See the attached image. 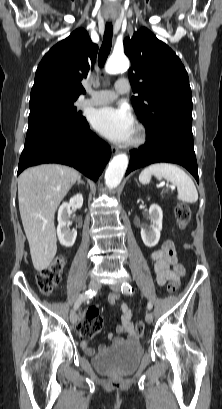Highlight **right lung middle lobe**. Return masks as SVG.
<instances>
[{"label":"right lung middle lobe","mask_w":222,"mask_h":409,"mask_svg":"<svg viewBox=\"0 0 222 409\" xmlns=\"http://www.w3.org/2000/svg\"><path fill=\"white\" fill-rule=\"evenodd\" d=\"M74 102H50L30 108L26 140L42 131L68 134L81 129L87 121Z\"/></svg>","instance_id":"right-lung-middle-lobe-1"}]
</instances>
